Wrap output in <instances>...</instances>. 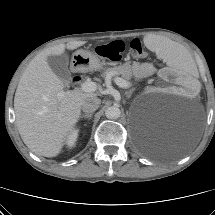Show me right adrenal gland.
I'll return each mask as SVG.
<instances>
[{
    "mask_svg": "<svg viewBox=\"0 0 215 215\" xmlns=\"http://www.w3.org/2000/svg\"><path fill=\"white\" fill-rule=\"evenodd\" d=\"M92 115H93L92 113H90V114H83V115L80 116V118H88V119H91Z\"/></svg>",
    "mask_w": 215,
    "mask_h": 215,
    "instance_id": "obj_1",
    "label": "right adrenal gland"
}]
</instances>
